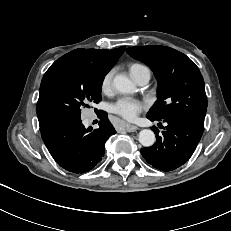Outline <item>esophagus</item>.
Returning <instances> with one entry per match:
<instances>
[{"mask_svg":"<svg viewBox=\"0 0 231 231\" xmlns=\"http://www.w3.org/2000/svg\"><path fill=\"white\" fill-rule=\"evenodd\" d=\"M124 130H126L127 132H135L136 130H138V127L135 125H131V124H126L123 127Z\"/></svg>","mask_w":231,"mask_h":231,"instance_id":"esophagus-1","label":"esophagus"}]
</instances>
